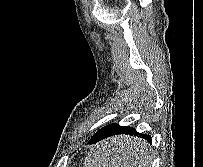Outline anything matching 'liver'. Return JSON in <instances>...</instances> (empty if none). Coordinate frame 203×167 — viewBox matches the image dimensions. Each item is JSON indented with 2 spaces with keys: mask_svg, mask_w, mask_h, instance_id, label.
Returning <instances> with one entry per match:
<instances>
[{
  "mask_svg": "<svg viewBox=\"0 0 203 167\" xmlns=\"http://www.w3.org/2000/svg\"><path fill=\"white\" fill-rule=\"evenodd\" d=\"M120 145H122V146H121V148H118V150H121V149H122L125 153H128V154L134 153V151L132 150V148L129 147L130 143H128V147L123 146V143H120ZM128 160H132V158H131V157H128ZM134 167H136V166H134Z\"/></svg>",
  "mask_w": 203,
  "mask_h": 167,
  "instance_id": "obj_1",
  "label": "liver"
}]
</instances>
